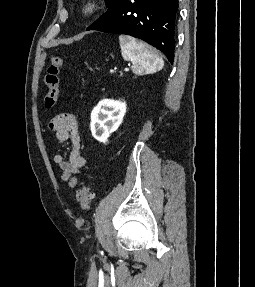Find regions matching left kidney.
Returning a JSON list of instances; mask_svg holds the SVG:
<instances>
[{
	"label": "left kidney",
	"instance_id": "obj_1",
	"mask_svg": "<svg viewBox=\"0 0 255 287\" xmlns=\"http://www.w3.org/2000/svg\"><path fill=\"white\" fill-rule=\"evenodd\" d=\"M126 114V102L101 100L91 112V132L99 142H107L111 132H115Z\"/></svg>",
	"mask_w": 255,
	"mask_h": 287
}]
</instances>
